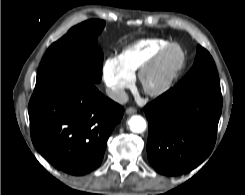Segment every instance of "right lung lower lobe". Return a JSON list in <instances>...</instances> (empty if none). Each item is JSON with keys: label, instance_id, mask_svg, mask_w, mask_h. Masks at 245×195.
Here are the masks:
<instances>
[{"label": "right lung lower lobe", "instance_id": "1", "mask_svg": "<svg viewBox=\"0 0 245 195\" xmlns=\"http://www.w3.org/2000/svg\"><path fill=\"white\" fill-rule=\"evenodd\" d=\"M123 113V107L101 94L92 81L64 83L32 95V142L55 168L84 175L102 162L107 139Z\"/></svg>", "mask_w": 245, "mask_h": 195}]
</instances>
